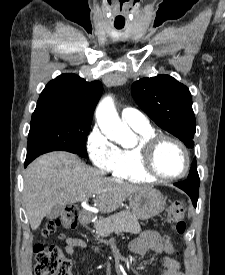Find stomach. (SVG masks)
<instances>
[{
  "label": "stomach",
  "mask_w": 225,
  "mask_h": 275,
  "mask_svg": "<svg viewBox=\"0 0 225 275\" xmlns=\"http://www.w3.org/2000/svg\"><path fill=\"white\" fill-rule=\"evenodd\" d=\"M129 204L132 214L140 220L151 219L159 215L166 206V201L160 191L147 189L131 195Z\"/></svg>",
  "instance_id": "1"
}]
</instances>
